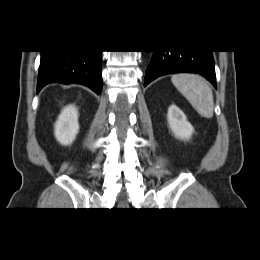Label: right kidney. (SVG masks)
I'll return each mask as SVG.
<instances>
[{"label":"right kidney","mask_w":260,"mask_h":260,"mask_svg":"<svg viewBox=\"0 0 260 260\" xmlns=\"http://www.w3.org/2000/svg\"><path fill=\"white\" fill-rule=\"evenodd\" d=\"M54 134L62 145H70L79 131L78 111L75 106L69 105L60 113L55 126Z\"/></svg>","instance_id":"1"}]
</instances>
